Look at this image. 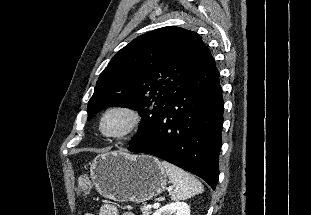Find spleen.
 Segmentation results:
<instances>
[{
  "label": "spleen",
  "instance_id": "3e777b00",
  "mask_svg": "<svg viewBox=\"0 0 311 215\" xmlns=\"http://www.w3.org/2000/svg\"><path fill=\"white\" fill-rule=\"evenodd\" d=\"M174 190L171 200H186L204 191L202 183L192 174L166 161L161 162Z\"/></svg>",
  "mask_w": 311,
  "mask_h": 215
}]
</instances>
